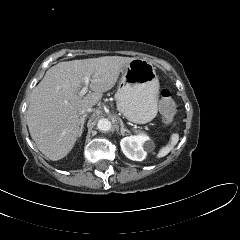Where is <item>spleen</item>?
<instances>
[{
  "instance_id": "3e777b00",
  "label": "spleen",
  "mask_w": 240,
  "mask_h": 240,
  "mask_svg": "<svg viewBox=\"0 0 240 240\" xmlns=\"http://www.w3.org/2000/svg\"><path fill=\"white\" fill-rule=\"evenodd\" d=\"M178 139H179V135L178 134H173L171 136L170 143L168 145H166L165 147L160 149V151L157 154V157L161 158V157L166 156L173 149V147L177 144Z\"/></svg>"
}]
</instances>
